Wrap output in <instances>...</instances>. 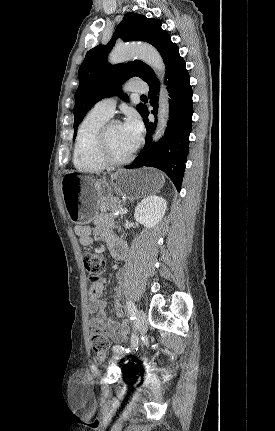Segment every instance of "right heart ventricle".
I'll return each instance as SVG.
<instances>
[{
	"mask_svg": "<svg viewBox=\"0 0 275 431\" xmlns=\"http://www.w3.org/2000/svg\"><path fill=\"white\" fill-rule=\"evenodd\" d=\"M109 118L93 108L81 121L73 152V162L79 171L96 173L107 167L97 154V138Z\"/></svg>",
	"mask_w": 275,
	"mask_h": 431,
	"instance_id": "obj_1",
	"label": "right heart ventricle"
}]
</instances>
